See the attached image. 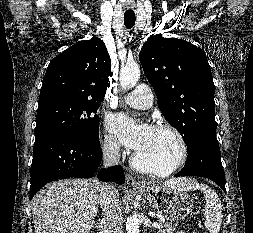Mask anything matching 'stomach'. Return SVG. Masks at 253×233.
I'll return each instance as SVG.
<instances>
[{
	"label": "stomach",
	"instance_id": "0dacf381",
	"mask_svg": "<svg viewBox=\"0 0 253 233\" xmlns=\"http://www.w3.org/2000/svg\"><path fill=\"white\" fill-rule=\"evenodd\" d=\"M140 191L152 208L166 220H182L193 208V200L190 196L177 188L156 183H146Z\"/></svg>",
	"mask_w": 253,
	"mask_h": 233
}]
</instances>
